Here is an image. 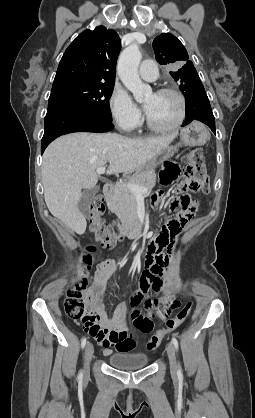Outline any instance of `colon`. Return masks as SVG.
Listing matches in <instances>:
<instances>
[{
    "mask_svg": "<svg viewBox=\"0 0 255 418\" xmlns=\"http://www.w3.org/2000/svg\"><path fill=\"white\" fill-rule=\"evenodd\" d=\"M184 177L185 179L179 187V196L173 200L172 205L174 208H180L179 220L189 222L195 216L198 203L190 198L188 192L201 191L208 193L210 190L209 176L206 173L200 151L189 153L185 157ZM161 196V192L156 193L154 201H158ZM104 210L103 199L96 197L90 206V230L94 234L96 242L102 248L110 249L116 245L120 236L116 231L104 225L102 220ZM162 227H173L175 232L180 227V222L177 219H172ZM160 236L161 229L156 237ZM94 250V246L87 247V253L83 257L86 268L68 289L65 300L67 315L73 319L81 320L85 330H93L97 327V315L85 311V289L90 281L89 273L93 262L91 254ZM191 307V302L186 303L173 318L168 319L164 327L150 339L147 345L148 349H155L165 333L181 325L188 317Z\"/></svg>",
    "mask_w": 255,
    "mask_h": 418,
    "instance_id": "colon-1",
    "label": "colon"
}]
</instances>
